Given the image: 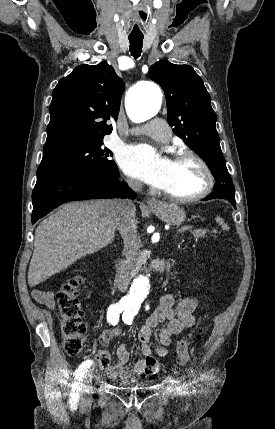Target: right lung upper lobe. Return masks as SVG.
I'll use <instances>...</instances> for the list:
<instances>
[{
    "mask_svg": "<svg viewBox=\"0 0 275 429\" xmlns=\"http://www.w3.org/2000/svg\"><path fill=\"white\" fill-rule=\"evenodd\" d=\"M124 83L112 66H77L60 79L52 93L44 154L70 144L103 140L117 120Z\"/></svg>",
    "mask_w": 275,
    "mask_h": 429,
    "instance_id": "1",
    "label": "right lung upper lobe"
}]
</instances>
